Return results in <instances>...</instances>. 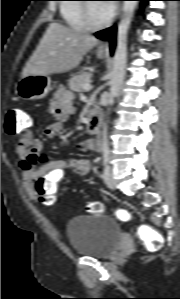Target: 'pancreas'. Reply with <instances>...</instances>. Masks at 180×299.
Returning <instances> with one entry per match:
<instances>
[{"label":"pancreas","instance_id":"obj_1","mask_svg":"<svg viewBox=\"0 0 180 299\" xmlns=\"http://www.w3.org/2000/svg\"><path fill=\"white\" fill-rule=\"evenodd\" d=\"M91 77L92 74L89 72H83L73 76L68 83L69 89L74 92H82L84 90L83 85L89 84Z\"/></svg>","mask_w":180,"mask_h":299}]
</instances>
